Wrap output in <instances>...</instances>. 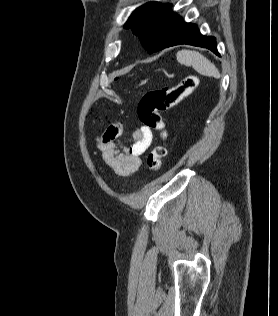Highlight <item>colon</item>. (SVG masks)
<instances>
[{"label":"colon","mask_w":278,"mask_h":316,"mask_svg":"<svg viewBox=\"0 0 278 316\" xmlns=\"http://www.w3.org/2000/svg\"><path fill=\"white\" fill-rule=\"evenodd\" d=\"M198 82V77L190 74L172 87L148 91L142 96L137 109L138 117L145 126L158 132L161 139L147 156V166L151 171L162 168L167 153L164 144L167 134L161 113L190 95L198 86Z\"/></svg>","instance_id":"1"}]
</instances>
